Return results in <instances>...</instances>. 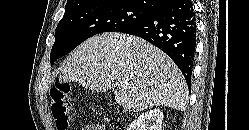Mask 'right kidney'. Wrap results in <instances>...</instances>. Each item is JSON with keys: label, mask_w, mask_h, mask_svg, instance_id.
Listing matches in <instances>:
<instances>
[{"label": "right kidney", "mask_w": 249, "mask_h": 130, "mask_svg": "<svg viewBox=\"0 0 249 130\" xmlns=\"http://www.w3.org/2000/svg\"><path fill=\"white\" fill-rule=\"evenodd\" d=\"M163 118L162 110L151 109L135 118L128 130H161Z\"/></svg>", "instance_id": "right-kidney-1"}]
</instances>
